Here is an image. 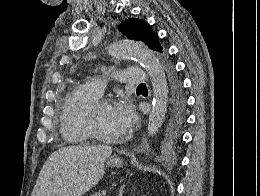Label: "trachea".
I'll use <instances>...</instances> for the list:
<instances>
[{
	"label": "trachea",
	"instance_id": "3493384b",
	"mask_svg": "<svg viewBox=\"0 0 260 196\" xmlns=\"http://www.w3.org/2000/svg\"><path fill=\"white\" fill-rule=\"evenodd\" d=\"M137 88H146V84L145 83H140V85H138Z\"/></svg>",
	"mask_w": 260,
	"mask_h": 196
}]
</instances>
